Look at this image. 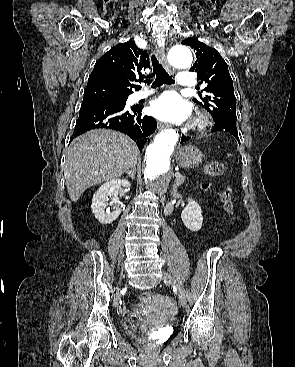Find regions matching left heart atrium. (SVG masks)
I'll use <instances>...</instances> for the list:
<instances>
[{"label":"left heart atrium","instance_id":"obj_1","mask_svg":"<svg viewBox=\"0 0 295 367\" xmlns=\"http://www.w3.org/2000/svg\"><path fill=\"white\" fill-rule=\"evenodd\" d=\"M150 112L162 121L179 124L189 118L191 108L177 92L170 91L151 103Z\"/></svg>","mask_w":295,"mask_h":367}]
</instances>
